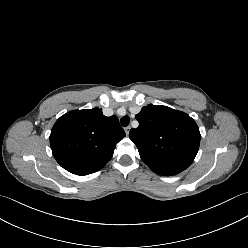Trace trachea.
Instances as JSON below:
<instances>
[{
  "instance_id": "3493384b",
  "label": "trachea",
  "mask_w": 248,
  "mask_h": 248,
  "mask_svg": "<svg viewBox=\"0 0 248 248\" xmlns=\"http://www.w3.org/2000/svg\"><path fill=\"white\" fill-rule=\"evenodd\" d=\"M130 123V117L129 116H124L120 119V124L123 126V127H127Z\"/></svg>"
}]
</instances>
